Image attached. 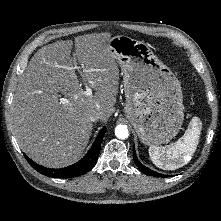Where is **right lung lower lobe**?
<instances>
[{"label": "right lung lower lobe", "mask_w": 221, "mask_h": 221, "mask_svg": "<svg viewBox=\"0 0 221 221\" xmlns=\"http://www.w3.org/2000/svg\"><path fill=\"white\" fill-rule=\"evenodd\" d=\"M105 130L106 128L103 127L88 153L80 161L71 166L61 169H50L36 164L27 156H25V158L35 170L49 177L72 178L83 175L87 173L90 169H92L97 162L101 148V141L105 134Z\"/></svg>", "instance_id": "1"}]
</instances>
